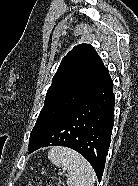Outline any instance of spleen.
<instances>
[{"label":"spleen","mask_w":138,"mask_h":186,"mask_svg":"<svg viewBox=\"0 0 138 186\" xmlns=\"http://www.w3.org/2000/svg\"><path fill=\"white\" fill-rule=\"evenodd\" d=\"M48 159L68 172V186H94L95 175L91 165L76 151L66 147H52Z\"/></svg>","instance_id":"spleen-1"}]
</instances>
